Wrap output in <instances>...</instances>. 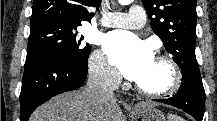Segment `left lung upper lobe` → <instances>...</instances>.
I'll return each mask as SVG.
<instances>
[{
    "label": "left lung upper lobe",
    "mask_w": 217,
    "mask_h": 121,
    "mask_svg": "<svg viewBox=\"0 0 217 121\" xmlns=\"http://www.w3.org/2000/svg\"><path fill=\"white\" fill-rule=\"evenodd\" d=\"M158 35L183 75L201 80L195 56L196 0H142Z\"/></svg>",
    "instance_id": "5c2ea615"
}]
</instances>
